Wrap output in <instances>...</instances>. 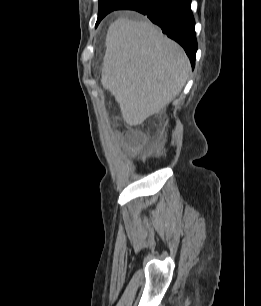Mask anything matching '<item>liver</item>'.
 <instances>
[{
    "label": "liver",
    "mask_w": 261,
    "mask_h": 306,
    "mask_svg": "<svg viewBox=\"0 0 261 306\" xmlns=\"http://www.w3.org/2000/svg\"><path fill=\"white\" fill-rule=\"evenodd\" d=\"M189 71L183 49L153 24L119 18L110 25L101 83L130 126L168 105L183 89Z\"/></svg>",
    "instance_id": "6515ba94"
}]
</instances>
